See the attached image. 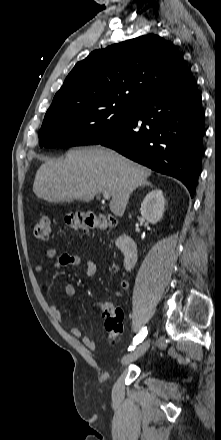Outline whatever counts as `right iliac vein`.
I'll list each match as a JSON object with an SVG mask.
<instances>
[{
	"instance_id": "obj_1",
	"label": "right iliac vein",
	"mask_w": 221,
	"mask_h": 440,
	"mask_svg": "<svg viewBox=\"0 0 221 440\" xmlns=\"http://www.w3.org/2000/svg\"><path fill=\"white\" fill-rule=\"evenodd\" d=\"M149 346H150V340L148 339L144 341L142 344H140L133 352L124 356L121 361L122 364L126 365L137 360L148 350Z\"/></svg>"
}]
</instances>
